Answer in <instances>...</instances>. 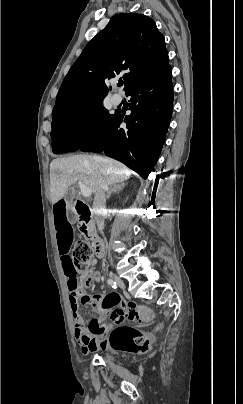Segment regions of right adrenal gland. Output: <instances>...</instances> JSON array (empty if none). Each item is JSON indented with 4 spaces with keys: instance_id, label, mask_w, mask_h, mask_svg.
Listing matches in <instances>:
<instances>
[{
    "instance_id": "right-adrenal-gland-1",
    "label": "right adrenal gland",
    "mask_w": 243,
    "mask_h": 404,
    "mask_svg": "<svg viewBox=\"0 0 243 404\" xmlns=\"http://www.w3.org/2000/svg\"><path fill=\"white\" fill-rule=\"evenodd\" d=\"M125 184L123 182H120V184H113V186H110L108 190V194L106 196V200H109L111 198L112 194H119L121 190H123Z\"/></svg>"
}]
</instances>
